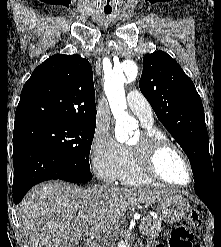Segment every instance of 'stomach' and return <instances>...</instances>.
<instances>
[{
    "instance_id": "obj_1",
    "label": "stomach",
    "mask_w": 221,
    "mask_h": 247,
    "mask_svg": "<svg viewBox=\"0 0 221 247\" xmlns=\"http://www.w3.org/2000/svg\"><path fill=\"white\" fill-rule=\"evenodd\" d=\"M189 208L187 200L178 195H169L157 201V213L167 223L179 222Z\"/></svg>"
}]
</instances>
